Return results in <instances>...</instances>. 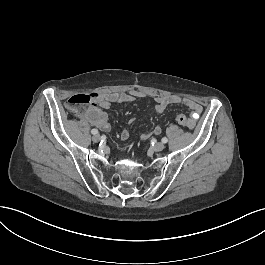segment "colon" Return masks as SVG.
<instances>
[{"instance_id":"1","label":"colon","mask_w":265,"mask_h":265,"mask_svg":"<svg viewBox=\"0 0 265 265\" xmlns=\"http://www.w3.org/2000/svg\"><path fill=\"white\" fill-rule=\"evenodd\" d=\"M97 101V94L94 91H87L85 94H79L78 96H66L63 99V106L66 109L78 110L81 106L87 104H94ZM178 123L183 127H190L192 121L186 115L180 114L177 117Z\"/></svg>"}]
</instances>
